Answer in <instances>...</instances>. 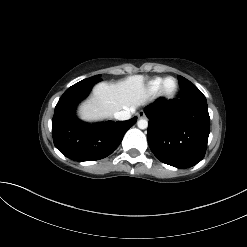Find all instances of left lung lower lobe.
Returning <instances> with one entry per match:
<instances>
[{"label":"left lung lower lobe","instance_id":"1","mask_svg":"<svg viewBox=\"0 0 247 247\" xmlns=\"http://www.w3.org/2000/svg\"><path fill=\"white\" fill-rule=\"evenodd\" d=\"M144 111L149 118V147L161 162L189 168L203 159L210 117L206 98L195 85L181 89L178 99L160 98Z\"/></svg>","mask_w":247,"mask_h":247}]
</instances>
